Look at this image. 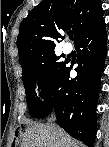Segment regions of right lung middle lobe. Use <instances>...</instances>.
I'll list each match as a JSON object with an SVG mask.
<instances>
[{
    "instance_id": "right-lung-middle-lobe-1",
    "label": "right lung middle lobe",
    "mask_w": 109,
    "mask_h": 147,
    "mask_svg": "<svg viewBox=\"0 0 109 147\" xmlns=\"http://www.w3.org/2000/svg\"><path fill=\"white\" fill-rule=\"evenodd\" d=\"M58 59L59 57L54 52H50L38 61L22 68L27 105L32 118L37 117L41 112L52 86L65 66V63L58 62ZM35 84L43 86L42 97L45 101L33 96Z\"/></svg>"
}]
</instances>
